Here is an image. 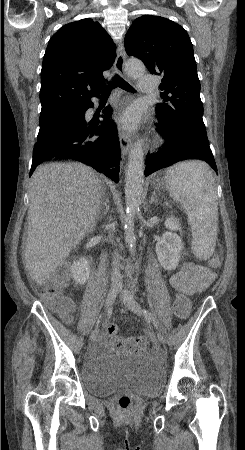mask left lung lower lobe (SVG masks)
Here are the masks:
<instances>
[{"mask_svg":"<svg viewBox=\"0 0 245 450\" xmlns=\"http://www.w3.org/2000/svg\"><path fill=\"white\" fill-rule=\"evenodd\" d=\"M157 132L164 137L165 144L161 152L147 155L145 176L186 159L204 160L217 171L208 141L188 135L174 134L163 122L158 124Z\"/></svg>","mask_w":245,"mask_h":450,"instance_id":"left-lung-lower-lobe-1","label":"left lung lower lobe"}]
</instances>
